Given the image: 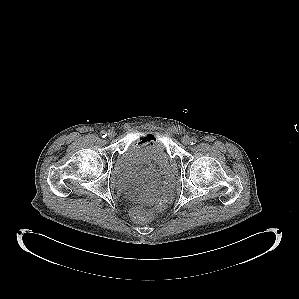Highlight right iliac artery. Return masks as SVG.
Instances as JSON below:
<instances>
[{"label":"right iliac artery","instance_id":"right-iliac-artery-1","mask_svg":"<svg viewBox=\"0 0 299 299\" xmlns=\"http://www.w3.org/2000/svg\"><path fill=\"white\" fill-rule=\"evenodd\" d=\"M101 134H102V137H103V138H105V137L107 136V134H106L105 131H103Z\"/></svg>","mask_w":299,"mask_h":299}]
</instances>
